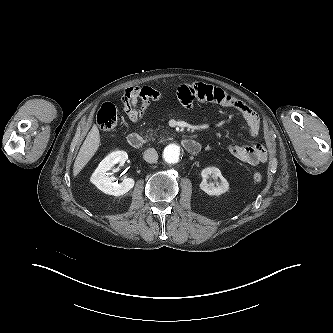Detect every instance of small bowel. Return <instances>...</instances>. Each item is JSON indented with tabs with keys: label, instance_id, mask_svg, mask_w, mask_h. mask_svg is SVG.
I'll use <instances>...</instances> for the list:
<instances>
[{
	"label": "small bowel",
	"instance_id": "small-bowel-1",
	"mask_svg": "<svg viewBox=\"0 0 333 333\" xmlns=\"http://www.w3.org/2000/svg\"><path fill=\"white\" fill-rule=\"evenodd\" d=\"M177 96L185 106L194 102H212L236 110L246 121L249 134L256 137L260 129L258 114L240 99L226 93L221 88L204 83H185L177 88ZM164 94L150 86H135L124 91L121 97L123 111L130 122L137 123L145 115L151 101H161ZM229 153L236 159L256 166L268 159L267 150L258 143L251 145L232 144Z\"/></svg>",
	"mask_w": 333,
	"mask_h": 333
}]
</instances>
